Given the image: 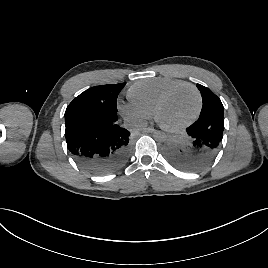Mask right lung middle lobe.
Returning a JSON list of instances; mask_svg holds the SVG:
<instances>
[{
  "label": "right lung middle lobe",
  "instance_id": "dd1d6c3e",
  "mask_svg": "<svg viewBox=\"0 0 268 268\" xmlns=\"http://www.w3.org/2000/svg\"><path fill=\"white\" fill-rule=\"evenodd\" d=\"M126 83L94 86L78 95L67 107L66 111L81 105H89L99 109L117 112V96Z\"/></svg>",
  "mask_w": 268,
  "mask_h": 268
}]
</instances>
